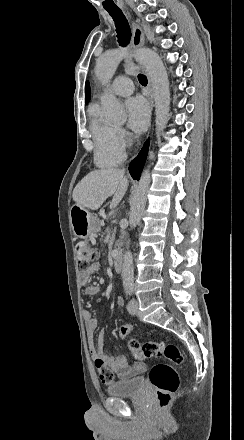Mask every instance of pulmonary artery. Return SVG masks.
Here are the masks:
<instances>
[{"label": "pulmonary artery", "mask_w": 244, "mask_h": 440, "mask_svg": "<svg viewBox=\"0 0 244 440\" xmlns=\"http://www.w3.org/2000/svg\"><path fill=\"white\" fill-rule=\"evenodd\" d=\"M115 93L120 96H131L134 90L132 75H117L114 77Z\"/></svg>", "instance_id": "pulmonary-artery-1"}]
</instances>
